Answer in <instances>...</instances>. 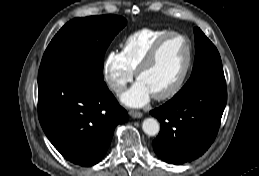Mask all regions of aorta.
Listing matches in <instances>:
<instances>
[{
  "instance_id": "1",
  "label": "aorta",
  "mask_w": 259,
  "mask_h": 176,
  "mask_svg": "<svg viewBox=\"0 0 259 176\" xmlns=\"http://www.w3.org/2000/svg\"><path fill=\"white\" fill-rule=\"evenodd\" d=\"M142 129L145 134L155 136L160 131V124L154 118H146L142 123Z\"/></svg>"
}]
</instances>
